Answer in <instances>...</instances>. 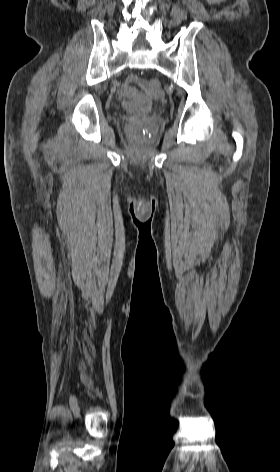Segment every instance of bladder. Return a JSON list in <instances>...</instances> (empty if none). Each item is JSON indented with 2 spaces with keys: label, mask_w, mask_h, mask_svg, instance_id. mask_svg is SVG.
Listing matches in <instances>:
<instances>
[{
  "label": "bladder",
  "mask_w": 280,
  "mask_h": 472,
  "mask_svg": "<svg viewBox=\"0 0 280 472\" xmlns=\"http://www.w3.org/2000/svg\"><path fill=\"white\" fill-rule=\"evenodd\" d=\"M154 103L145 97L126 98L122 102V108L133 114H145L153 109Z\"/></svg>",
  "instance_id": "obj_1"
}]
</instances>
